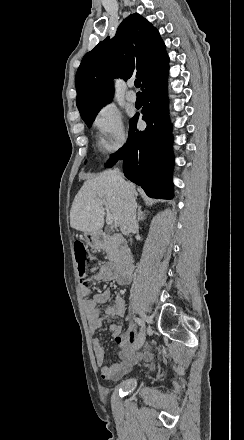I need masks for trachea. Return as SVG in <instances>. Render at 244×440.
Returning a JSON list of instances; mask_svg holds the SVG:
<instances>
[{
	"instance_id": "1",
	"label": "trachea",
	"mask_w": 244,
	"mask_h": 440,
	"mask_svg": "<svg viewBox=\"0 0 244 440\" xmlns=\"http://www.w3.org/2000/svg\"><path fill=\"white\" fill-rule=\"evenodd\" d=\"M141 86V81L140 80H135V87L139 88Z\"/></svg>"
}]
</instances>
